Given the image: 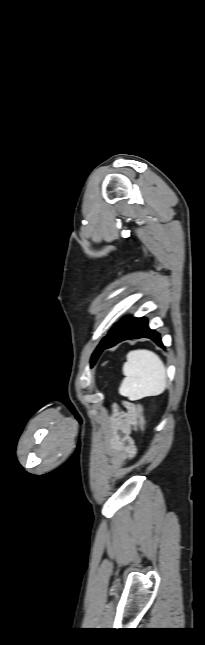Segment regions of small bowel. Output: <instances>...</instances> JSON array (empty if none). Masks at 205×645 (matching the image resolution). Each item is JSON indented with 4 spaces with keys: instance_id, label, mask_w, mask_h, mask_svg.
Instances as JSON below:
<instances>
[{
    "instance_id": "small-bowel-1",
    "label": "small bowel",
    "mask_w": 205,
    "mask_h": 645,
    "mask_svg": "<svg viewBox=\"0 0 205 645\" xmlns=\"http://www.w3.org/2000/svg\"><path fill=\"white\" fill-rule=\"evenodd\" d=\"M125 411L114 408L112 423L107 432V449L114 465H119L135 455L136 447L131 436L137 418L134 404L123 403Z\"/></svg>"
}]
</instances>
